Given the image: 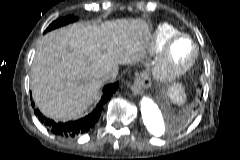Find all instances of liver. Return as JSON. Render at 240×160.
I'll return each instance as SVG.
<instances>
[{
  "label": "liver",
  "mask_w": 240,
  "mask_h": 160,
  "mask_svg": "<svg viewBox=\"0 0 240 160\" xmlns=\"http://www.w3.org/2000/svg\"><path fill=\"white\" fill-rule=\"evenodd\" d=\"M149 37L141 19L74 23L47 33L31 69L35 104L55 121L78 118L97 98L102 75L141 60Z\"/></svg>",
  "instance_id": "1"
}]
</instances>
